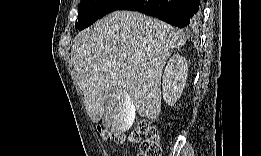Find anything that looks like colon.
<instances>
[{
	"mask_svg": "<svg viewBox=\"0 0 261 156\" xmlns=\"http://www.w3.org/2000/svg\"><path fill=\"white\" fill-rule=\"evenodd\" d=\"M103 139L116 144H127L138 142L142 135L145 136L141 144L139 155L159 156L162 153L159 129L147 121H142L130 134L113 132L106 129L100 131Z\"/></svg>",
	"mask_w": 261,
	"mask_h": 156,
	"instance_id": "5ec220e1",
	"label": "colon"
}]
</instances>
